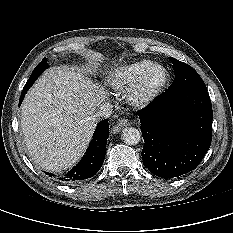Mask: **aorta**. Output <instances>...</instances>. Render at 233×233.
Listing matches in <instances>:
<instances>
[{"mask_svg":"<svg viewBox=\"0 0 233 233\" xmlns=\"http://www.w3.org/2000/svg\"><path fill=\"white\" fill-rule=\"evenodd\" d=\"M121 138L127 145H136L141 140V133L134 127H126L122 130Z\"/></svg>","mask_w":233,"mask_h":233,"instance_id":"obj_1","label":"aorta"}]
</instances>
